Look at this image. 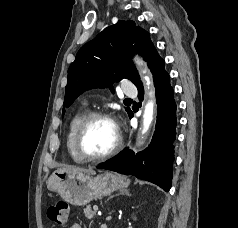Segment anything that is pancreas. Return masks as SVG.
Wrapping results in <instances>:
<instances>
[{
    "label": "pancreas",
    "mask_w": 238,
    "mask_h": 228,
    "mask_svg": "<svg viewBox=\"0 0 238 228\" xmlns=\"http://www.w3.org/2000/svg\"><path fill=\"white\" fill-rule=\"evenodd\" d=\"M83 210H84L85 217L87 219L91 220L95 216V212L92 211V209L89 205L86 206Z\"/></svg>",
    "instance_id": "obj_1"
}]
</instances>
